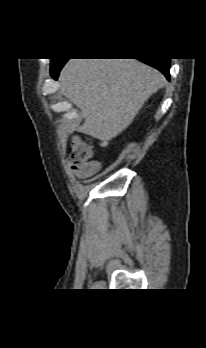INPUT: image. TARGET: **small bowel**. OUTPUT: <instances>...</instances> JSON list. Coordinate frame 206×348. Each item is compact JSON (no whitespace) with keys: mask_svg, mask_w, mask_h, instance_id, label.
<instances>
[{"mask_svg":"<svg viewBox=\"0 0 206 348\" xmlns=\"http://www.w3.org/2000/svg\"><path fill=\"white\" fill-rule=\"evenodd\" d=\"M101 168L102 166L99 162L93 161L85 163L81 166H72L71 171L76 177L80 179H87L97 175Z\"/></svg>","mask_w":206,"mask_h":348,"instance_id":"small-bowel-1","label":"small bowel"}]
</instances>
